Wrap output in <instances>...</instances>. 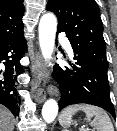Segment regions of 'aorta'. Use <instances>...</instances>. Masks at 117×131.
<instances>
[{
    "label": "aorta",
    "instance_id": "762f6f07",
    "mask_svg": "<svg viewBox=\"0 0 117 131\" xmlns=\"http://www.w3.org/2000/svg\"><path fill=\"white\" fill-rule=\"evenodd\" d=\"M57 31V19L54 14H44L39 22V44L42 55L46 60L52 58L54 51L55 35ZM49 66H52L49 63ZM58 103L54 99L47 100L42 108V117L47 123H51L57 116Z\"/></svg>",
    "mask_w": 117,
    "mask_h": 131
}]
</instances>
